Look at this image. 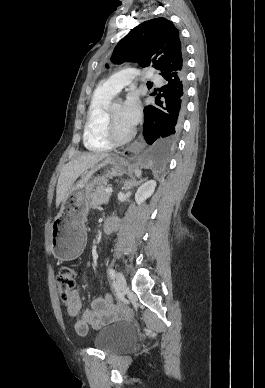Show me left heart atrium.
Here are the masks:
<instances>
[{
  "mask_svg": "<svg viewBox=\"0 0 265 388\" xmlns=\"http://www.w3.org/2000/svg\"><path fill=\"white\" fill-rule=\"evenodd\" d=\"M141 117V106L136 95H130L122 108V120L125 124L132 127L137 124Z\"/></svg>",
  "mask_w": 265,
  "mask_h": 388,
  "instance_id": "39dd6f15",
  "label": "left heart atrium"
}]
</instances>
